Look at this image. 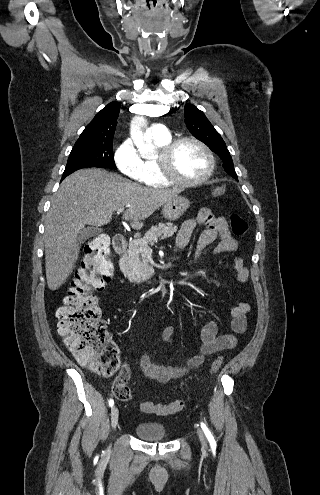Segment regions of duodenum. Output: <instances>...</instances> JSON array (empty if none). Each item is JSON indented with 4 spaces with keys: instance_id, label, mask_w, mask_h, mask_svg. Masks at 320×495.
Returning <instances> with one entry per match:
<instances>
[{
    "instance_id": "410a0bca",
    "label": "duodenum",
    "mask_w": 320,
    "mask_h": 495,
    "mask_svg": "<svg viewBox=\"0 0 320 495\" xmlns=\"http://www.w3.org/2000/svg\"><path fill=\"white\" fill-rule=\"evenodd\" d=\"M113 248L117 254H124L126 251V241L122 235H115L113 238Z\"/></svg>"
}]
</instances>
